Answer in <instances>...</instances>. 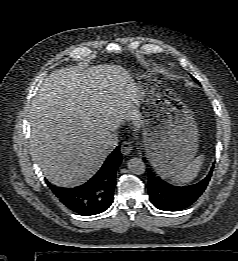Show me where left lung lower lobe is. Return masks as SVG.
<instances>
[{
    "label": "left lung lower lobe",
    "instance_id": "left-lung-lower-lobe-1",
    "mask_svg": "<svg viewBox=\"0 0 238 261\" xmlns=\"http://www.w3.org/2000/svg\"><path fill=\"white\" fill-rule=\"evenodd\" d=\"M214 165L208 175L197 184L191 186H174L161 179L153 170L147 168L148 193L151 203L158 209L164 211H180L193 204L206 189Z\"/></svg>",
    "mask_w": 238,
    "mask_h": 261
}]
</instances>
